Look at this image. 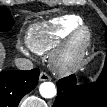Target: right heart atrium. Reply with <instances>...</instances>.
Here are the masks:
<instances>
[{
    "mask_svg": "<svg viewBox=\"0 0 107 107\" xmlns=\"http://www.w3.org/2000/svg\"><path fill=\"white\" fill-rule=\"evenodd\" d=\"M22 50H23L24 52H27V50H26L25 48H22Z\"/></svg>",
    "mask_w": 107,
    "mask_h": 107,
    "instance_id": "obj_1",
    "label": "right heart atrium"
}]
</instances>
